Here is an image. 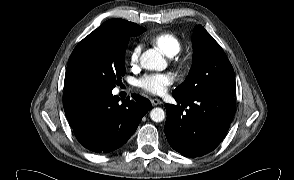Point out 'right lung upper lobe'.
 Wrapping results in <instances>:
<instances>
[{
	"mask_svg": "<svg viewBox=\"0 0 294 180\" xmlns=\"http://www.w3.org/2000/svg\"><path fill=\"white\" fill-rule=\"evenodd\" d=\"M145 31V28L135 23L123 19H111L103 23L94 30L89 36H98L103 34H123L137 36Z\"/></svg>",
	"mask_w": 294,
	"mask_h": 180,
	"instance_id": "1",
	"label": "right lung upper lobe"
}]
</instances>
